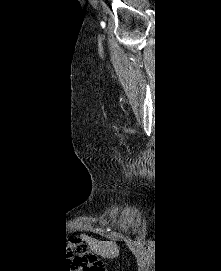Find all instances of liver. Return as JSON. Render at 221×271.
<instances>
[{
	"instance_id": "6515ba94",
	"label": "liver",
	"mask_w": 221,
	"mask_h": 271,
	"mask_svg": "<svg viewBox=\"0 0 221 271\" xmlns=\"http://www.w3.org/2000/svg\"><path fill=\"white\" fill-rule=\"evenodd\" d=\"M90 249L102 257H118L120 249L113 241H99L95 237H88Z\"/></svg>"
}]
</instances>
